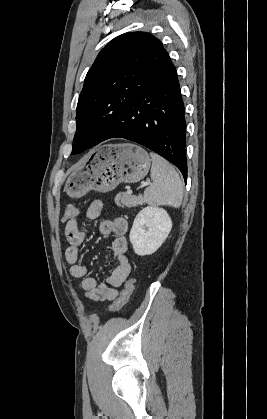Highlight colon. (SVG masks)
<instances>
[{"mask_svg":"<svg viewBox=\"0 0 267 419\" xmlns=\"http://www.w3.org/2000/svg\"><path fill=\"white\" fill-rule=\"evenodd\" d=\"M78 214V209L76 206H68L63 214L62 220L66 221ZM134 290V279H129L125 283L124 289L121 291L119 297L113 302L110 306L109 311L111 313L118 312L127 302Z\"/></svg>","mask_w":267,"mask_h":419,"instance_id":"colon-1","label":"colon"}]
</instances>
